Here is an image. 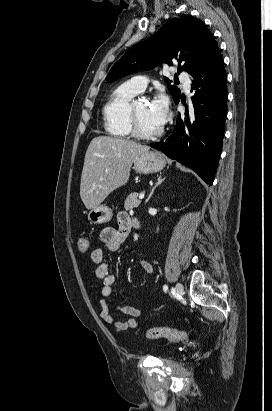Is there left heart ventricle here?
<instances>
[{
  "label": "left heart ventricle",
  "mask_w": 272,
  "mask_h": 411,
  "mask_svg": "<svg viewBox=\"0 0 272 411\" xmlns=\"http://www.w3.org/2000/svg\"><path fill=\"white\" fill-rule=\"evenodd\" d=\"M135 112L140 128L145 132H155L160 128L149 114V104L143 100L135 102Z\"/></svg>",
  "instance_id": "obj_1"
}]
</instances>
